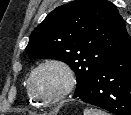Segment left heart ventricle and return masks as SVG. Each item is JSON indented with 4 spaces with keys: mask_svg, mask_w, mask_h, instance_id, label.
Listing matches in <instances>:
<instances>
[{
    "mask_svg": "<svg viewBox=\"0 0 131 115\" xmlns=\"http://www.w3.org/2000/svg\"><path fill=\"white\" fill-rule=\"evenodd\" d=\"M64 85V75L56 67H46L34 76L32 87L41 98L47 99L55 96Z\"/></svg>",
    "mask_w": 131,
    "mask_h": 115,
    "instance_id": "b2bd125f",
    "label": "left heart ventricle"
}]
</instances>
